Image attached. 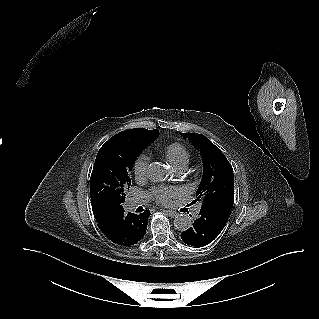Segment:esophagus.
Listing matches in <instances>:
<instances>
[{
  "mask_svg": "<svg viewBox=\"0 0 319 319\" xmlns=\"http://www.w3.org/2000/svg\"><path fill=\"white\" fill-rule=\"evenodd\" d=\"M164 211L170 217H175L178 215V213L176 211H172V210H164Z\"/></svg>",
  "mask_w": 319,
  "mask_h": 319,
  "instance_id": "34e87169",
  "label": "esophagus"
}]
</instances>
